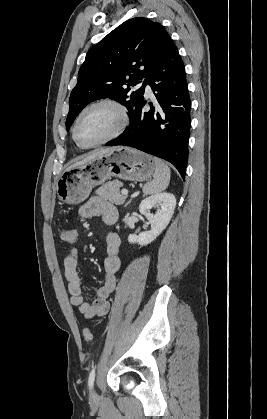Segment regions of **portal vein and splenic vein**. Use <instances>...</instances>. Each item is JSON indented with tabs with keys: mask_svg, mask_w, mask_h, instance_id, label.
I'll list each match as a JSON object with an SVG mask.
<instances>
[{
	"mask_svg": "<svg viewBox=\"0 0 267 419\" xmlns=\"http://www.w3.org/2000/svg\"><path fill=\"white\" fill-rule=\"evenodd\" d=\"M121 193H122V195L127 196L128 195V190L127 189H122Z\"/></svg>",
	"mask_w": 267,
	"mask_h": 419,
	"instance_id": "obj_1",
	"label": "portal vein and splenic vein"
}]
</instances>
